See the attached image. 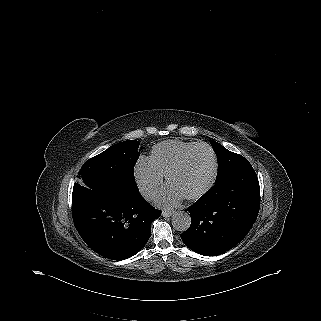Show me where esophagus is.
Segmentation results:
<instances>
[{"mask_svg":"<svg viewBox=\"0 0 321 321\" xmlns=\"http://www.w3.org/2000/svg\"><path fill=\"white\" fill-rule=\"evenodd\" d=\"M174 213H175L174 211H167V210H165V211L162 212V216H163V217H170V216H172Z\"/></svg>","mask_w":321,"mask_h":321,"instance_id":"esophagus-1","label":"esophagus"}]
</instances>
